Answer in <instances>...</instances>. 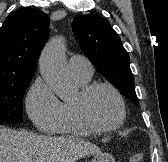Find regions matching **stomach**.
<instances>
[{
	"label": "stomach",
	"mask_w": 168,
	"mask_h": 162,
	"mask_svg": "<svg viewBox=\"0 0 168 162\" xmlns=\"http://www.w3.org/2000/svg\"><path fill=\"white\" fill-rule=\"evenodd\" d=\"M91 162H115V159L109 153H99V154H95Z\"/></svg>",
	"instance_id": "1"
}]
</instances>
